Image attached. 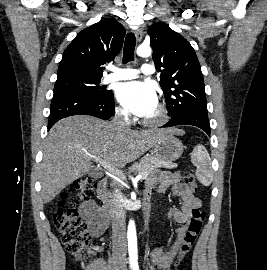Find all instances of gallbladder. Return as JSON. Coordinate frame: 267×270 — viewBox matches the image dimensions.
Here are the masks:
<instances>
[{
    "instance_id": "gallbladder-1",
    "label": "gallbladder",
    "mask_w": 267,
    "mask_h": 270,
    "mask_svg": "<svg viewBox=\"0 0 267 270\" xmlns=\"http://www.w3.org/2000/svg\"><path fill=\"white\" fill-rule=\"evenodd\" d=\"M87 175L91 178H94V179H98V178H101L103 173L98 170V169H93L91 168L88 172H87Z\"/></svg>"
}]
</instances>
